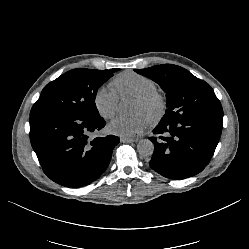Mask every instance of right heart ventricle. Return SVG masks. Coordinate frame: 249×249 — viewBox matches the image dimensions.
Returning <instances> with one entry per match:
<instances>
[{"mask_svg":"<svg viewBox=\"0 0 249 249\" xmlns=\"http://www.w3.org/2000/svg\"><path fill=\"white\" fill-rule=\"evenodd\" d=\"M111 86L117 95L138 96L157 89L151 78L133 71H125L116 75Z\"/></svg>","mask_w":249,"mask_h":249,"instance_id":"1","label":"right heart ventricle"}]
</instances>
